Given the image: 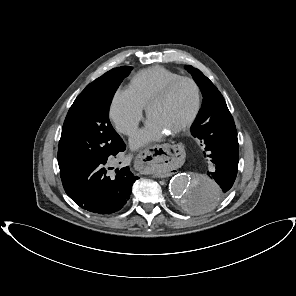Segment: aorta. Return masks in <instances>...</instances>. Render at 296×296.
<instances>
[{"label": "aorta", "mask_w": 296, "mask_h": 296, "mask_svg": "<svg viewBox=\"0 0 296 296\" xmlns=\"http://www.w3.org/2000/svg\"><path fill=\"white\" fill-rule=\"evenodd\" d=\"M169 191L178 206L188 214H201L217 203L218 185L208 175L196 173L176 174L170 181Z\"/></svg>", "instance_id": "aorta-1"}]
</instances>
